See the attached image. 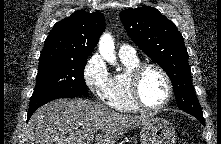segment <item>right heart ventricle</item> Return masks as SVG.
Wrapping results in <instances>:
<instances>
[{"instance_id":"obj_1","label":"right heart ventricle","mask_w":221,"mask_h":144,"mask_svg":"<svg viewBox=\"0 0 221 144\" xmlns=\"http://www.w3.org/2000/svg\"><path fill=\"white\" fill-rule=\"evenodd\" d=\"M120 58L125 70L112 76L113 91L108 102L116 110L131 112L138 108L134 105L130 97L128 75L140 62L137 57L127 58L120 56Z\"/></svg>"}]
</instances>
